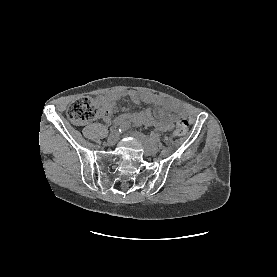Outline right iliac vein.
Listing matches in <instances>:
<instances>
[{"label":"right iliac vein","mask_w":277,"mask_h":277,"mask_svg":"<svg viewBox=\"0 0 277 277\" xmlns=\"http://www.w3.org/2000/svg\"><path fill=\"white\" fill-rule=\"evenodd\" d=\"M119 135L118 131H112L107 139V144L110 146L114 145L118 141Z\"/></svg>","instance_id":"right-iliac-vein-1"}]
</instances>
